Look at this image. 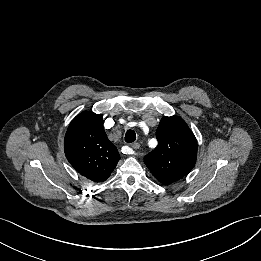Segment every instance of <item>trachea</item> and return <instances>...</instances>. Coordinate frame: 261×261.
<instances>
[{"label": "trachea", "instance_id": "1", "mask_svg": "<svg viewBox=\"0 0 261 261\" xmlns=\"http://www.w3.org/2000/svg\"><path fill=\"white\" fill-rule=\"evenodd\" d=\"M136 140V133L133 130H128L125 134V141L132 143Z\"/></svg>", "mask_w": 261, "mask_h": 261}]
</instances>
